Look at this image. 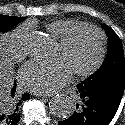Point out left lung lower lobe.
<instances>
[{"instance_id": "1", "label": "left lung lower lobe", "mask_w": 125, "mask_h": 125, "mask_svg": "<svg viewBox=\"0 0 125 125\" xmlns=\"http://www.w3.org/2000/svg\"><path fill=\"white\" fill-rule=\"evenodd\" d=\"M125 88V80L93 88L77 86L79 102L71 117L59 125H107L117 112Z\"/></svg>"}]
</instances>
